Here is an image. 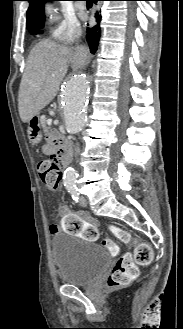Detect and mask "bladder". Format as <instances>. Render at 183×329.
Here are the masks:
<instances>
[{
  "label": "bladder",
  "instance_id": "1",
  "mask_svg": "<svg viewBox=\"0 0 183 329\" xmlns=\"http://www.w3.org/2000/svg\"><path fill=\"white\" fill-rule=\"evenodd\" d=\"M51 251L57 276L65 284L89 286L110 267L111 258L103 247L75 234L57 233Z\"/></svg>",
  "mask_w": 183,
  "mask_h": 329
}]
</instances>
